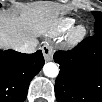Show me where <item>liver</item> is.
<instances>
[{
  "label": "liver",
  "mask_w": 102,
  "mask_h": 102,
  "mask_svg": "<svg viewBox=\"0 0 102 102\" xmlns=\"http://www.w3.org/2000/svg\"><path fill=\"white\" fill-rule=\"evenodd\" d=\"M60 15L58 7L49 1H35L18 11L1 12V45L15 49L27 40L41 35L44 25Z\"/></svg>",
  "instance_id": "liver-1"
}]
</instances>
